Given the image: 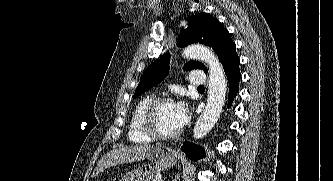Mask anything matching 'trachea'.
I'll return each instance as SVG.
<instances>
[{
  "label": "trachea",
  "instance_id": "1",
  "mask_svg": "<svg viewBox=\"0 0 333 181\" xmlns=\"http://www.w3.org/2000/svg\"><path fill=\"white\" fill-rule=\"evenodd\" d=\"M198 89H204V86H199Z\"/></svg>",
  "mask_w": 333,
  "mask_h": 181
}]
</instances>
